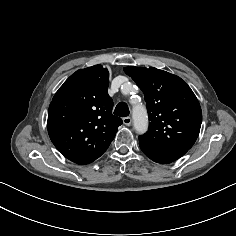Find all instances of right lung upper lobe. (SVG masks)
<instances>
[{"label":"right lung upper lobe","mask_w":236,"mask_h":236,"mask_svg":"<svg viewBox=\"0 0 236 236\" xmlns=\"http://www.w3.org/2000/svg\"><path fill=\"white\" fill-rule=\"evenodd\" d=\"M108 84L107 69L95 65L76 71L54 95L47 129L51 141L67 159L96 160L122 124L119 117L112 115Z\"/></svg>","instance_id":"1"}]
</instances>
